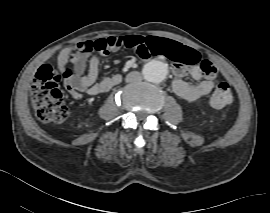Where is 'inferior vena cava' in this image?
I'll use <instances>...</instances> for the list:
<instances>
[{"instance_id": "602c4592", "label": "inferior vena cava", "mask_w": 270, "mask_h": 213, "mask_svg": "<svg viewBox=\"0 0 270 213\" xmlns=\"http://www.w3.org/2000/svg\"><path fill=\"white\" fill-rule=\"evenodd\" d=\"M141 80H142V75L137 71L130 72L126 76V81L128 83L139 82Z\"/></svg>"}]
</instances>
